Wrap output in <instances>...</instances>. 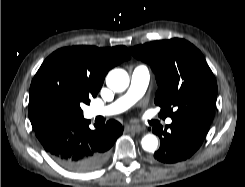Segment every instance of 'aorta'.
I'll return each instance as SVG.
<instances>
[{"instance_id":"obj_1","label":"aorta","mask_w":245,"mask_h":187,"mask_svg":"<svg viewBox=\"0 0 245 187\" xmlns=\"http://www.w3.org/2000/svg\"><path fill=\"white\" fill-rule=\"evenodd\" d=\"M107 86L114 92H122L129 85L128 73L123 69H114L106 77ZM142 148L148 152H154L158 146V140L155 135L147 134L142 138Z\"/></svg>"}]
</instances>
